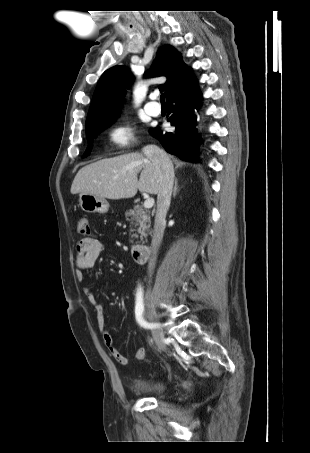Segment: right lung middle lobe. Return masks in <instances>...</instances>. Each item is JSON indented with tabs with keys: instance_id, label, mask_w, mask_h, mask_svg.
Returning a JSON list of instances; mask_svg holds the SVG:
<instances>
[{
	"instance_id": "dd1d6c3e",
	"label": "right lung middle lobe",
	"mask_w": 310,
	"mask_h": 453,
	"mask_svg": "<svg viewBox=\"0 0 310 453\" xmlns=\"http://www.w3.org/2000/svg\"><path fill=\"white\" fill-rule=\"evenodd\" d=\"M112 122V121H111ZM111 122H106V123H103V124H100V125H97V126H94V127H91V128H88L86 129V137L88 139V147L83 155V157H86L89 155V153L91 152V149L93 147L92 145V142H93V139L94 137L99 133L101 132L102 130H104L105 128H107V126L111 123Z\"/></svg>"
}]
</instances>
